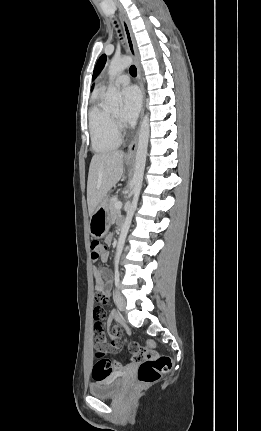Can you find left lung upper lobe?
Segmentation results:
<instances>
[{
	"instance_id": "obj_1",
	"label": "left lung upper lobe",
	"mask_w": 261,
	"mask_h": 431,
	"mask_svg": "<svg viewBox=\"0 0 261 431\" xmlns=\"http://www.w3.org/2000/svg\"><path fill=\"white\" fill-rule=\"evenodd\" d=\"M106 62V55H102L99 60L97 61V64L95 66L94 72H93V79L97 77V75L101 72Z\"/></svg>"
}]
</instances>
